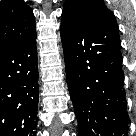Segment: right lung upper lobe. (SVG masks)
<instances>
[{
	"mask_svg": "<svg viewBox=\"0 0 136 136\" xmlns=\"http://www.w3.org/2000/svg\"><path fill=\"white\" fill-rule=\"evenodd\" d=\"M35 34L32 9L23 0L0 2V49L24 43Z\"/></svg>",
	"mask_w": 136,
	"mask_h": 136,
	"instance_id": "1",
	"label": "right lung upper lobe"
}]
</instances>
